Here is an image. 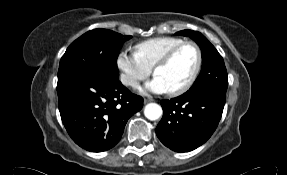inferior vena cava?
Returning a JSON list of instances; mask_svg holds the SVG:
<instances>
[{
    "label": "inferior vena cava",
    "mask_w": 287,
    "mask_h": 175,
    "mask_svg": "<svg viewBox=\"0 0 287 175\" xmlns=\"http://www.w3.org/2000/svg\"><path fill=\"white\" fill-rule=\"evenodd\" d=\"M122 82L125 85H131V86H134L137 83L134 79L126 76L122 78Z\"/></svg>",
    "instance_id": "602c4592"
}]
</instances>
